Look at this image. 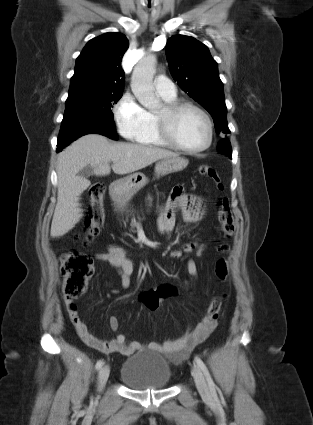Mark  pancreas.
<instances>
[{
	"mask_svg": "<svg viewBox=\"0 0 313 425\" xmlns=\"http://www.w3.org/2000/svg\"><path fill=\"white\" fill-rule=\"evenodd\" d=\"M148 200H149V202H151V201H152V198H151V197H148ZM131 226H132V228H134V227H135V223H134V221L132 222Z\"/></svg>",
	"mask_w": 313,
	"mask_h": 425,
	"instance_id": "1",
	"label": "pancreas"
}]
</instances>
